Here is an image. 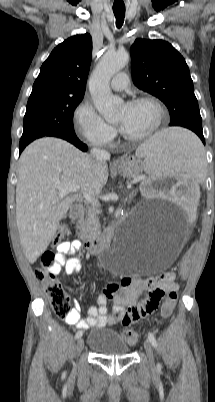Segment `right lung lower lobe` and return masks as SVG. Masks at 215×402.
<instances>
[{"label":"right lung lower lobe","instance_id":"98d812e1","mask_svg":"<svg viewBox=\"0 0 215 402\" xmlns=\"http://www.w3.org/2000/svg\"><path fill=\"white\" fill-rule=\"evenodd\" d=\"M62 139H65L67 141H69L70 143H72L73 145H75L76 147H78L80 150L82 151H87V146L85 144H83L76 136V134H70V135H64L62 137H59ZM27 145H19V151L20 153L23 151V149L26 147Z\"/></svg>","mask_w":215,"mask_h":402}]
</instances>
